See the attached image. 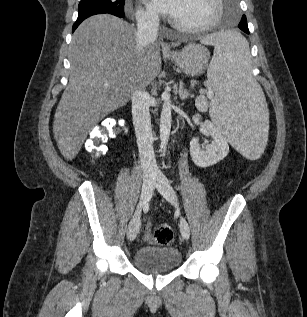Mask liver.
I'll use <instances>...</instances> for the list:
<instances>
[{
  "instance_id": "liver-1",
  "label": "liver",
  "mask_w": 307,
  "mask_h": 317,
  "mask_svg": "<svg viewBox=\"0 0 307 317\" xmlns=\"http://www.w3.org/2000/svg\"><path fill=\"white\" fill-rule=\"evenodd\" d=\"M136 31L118 17L101 14L74 32L69 83L53 122L54 138L65 159L76 157L90 129L124 105L134 89L146 87L159 75L163 44L150 42L139 53ZM215 99L216 95L212 102Z\"/></svg>"
}]
</instances>
